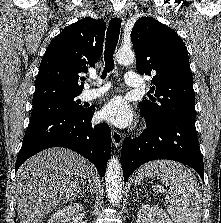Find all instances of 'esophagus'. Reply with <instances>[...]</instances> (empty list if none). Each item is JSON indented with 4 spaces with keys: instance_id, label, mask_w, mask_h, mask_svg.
Here are the masks:
<instances>
[{
    "instance_id": "1",
    "label": "esophagus",
    "mask_w": 221,
    "mask_h": 223,
    "mask_svg": "<svg viewBox=\"0 0 221 223\" xmlns=\"http://www.w3.org/2000/svg\"><path fill=\"white\" fill-rule=\"evenodd\" d=\"M114 16L124 21L125 14L123 11H115ZM111 134H112V142L114 146L117 148L120 147L123 142L124 136L120 132H118L116 129H112Z\"/></svg>"
}]
</instances>
